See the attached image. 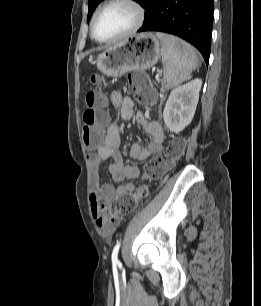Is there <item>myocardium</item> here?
Returning <instances> with one entry per match:
<instances>
[{
    "label": "myocardium",
    "instance_id": "1",
    "mask_svg": "<svg viewBox=\"0 0 261 306\" xmlns=\"http://www.w3.org/2000/svg\"><path fill=\"white\" fill-rule=\"evenodd\" d=\"M113 4H126L130 7H132L136 13V20L133 24V26L126 31L125 33L112 37V38H108V39H100L99 37H97L96 35V23H97V19L99 17V15L109 6L113 5ZM145 20V9L142 6V4L138 1V0H107L101 7H99L97 9V11L95 12L93 18H92V22H91V35L93 37L94 40H96L97 42L100 43H113L119 40H122L124 38H127L131 35H133L135 32H137L143 25Z\"/></svg>",
    "mask_w": 261,
    "mask_h": 306
}]
</instances>
